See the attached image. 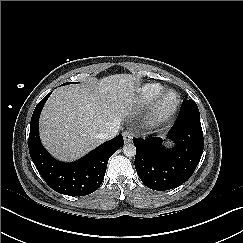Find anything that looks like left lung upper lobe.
<instances>
[{
	"mask_svg": "<svg viewBox=\"0 0 243 243\" xmlns=\"http://www.w3.org/2000/svg\"><path fill=\"white\" fill-rule=\"evenodd\" d=\"M183 105H185V106H197L196 105V103L193 101V100H185L184 102H183Z\"/></svg>",
	"mask_w": 243,
	"mask_h": 243,
	"instance_id": "5c2ea615",
	"label": "left lung upper lobe"
}]
</instances>
